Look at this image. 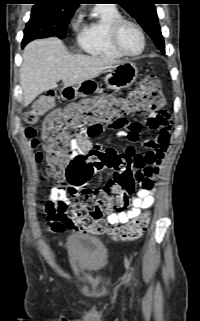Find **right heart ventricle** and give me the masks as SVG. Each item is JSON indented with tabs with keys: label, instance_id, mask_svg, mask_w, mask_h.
Returning <instances> with one entry per match:
<instances>
[{
	"label": "right heart ventricle",
	"instance_id": "obj_1",
	"mask_svg": "<svg viewBox=\"0 0 200 321\" xmlns=\"http://www.w3.org/2000/svg\"><path fill=\"white\" fill-rule=\"evenodd\" d=\"M122 18L121 12L114 5L95 6L77 35L78 46L92 56L122 58L123 55L113 47L110 39L113 24Z\"/></svg>",
	"mask_w": 200,
	"mask_h": 321
}]
</instances>
